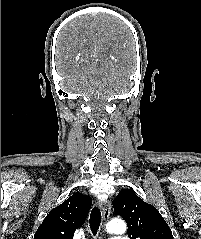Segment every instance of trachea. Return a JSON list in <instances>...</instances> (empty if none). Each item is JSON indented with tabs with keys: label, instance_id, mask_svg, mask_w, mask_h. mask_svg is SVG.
I'll use <instances>...</instances> for the list:
<instances>
[{
	"label": "trachea",
	"instance_id": "1",
	"mask_svg": "<svg viewBox=\"0 0 201 239\" xmlns=\"http://www.w3.org/2000/svg\"><path fill=\"white\" fill-rule=\"evenodd\" d=\"M90 229L93 235L95 236L99 230L101 223V210L98 207H94L90 214Z\"/></svg>",
	"mask_w": 201,
	"mask_h": 239
}]
</instances>
